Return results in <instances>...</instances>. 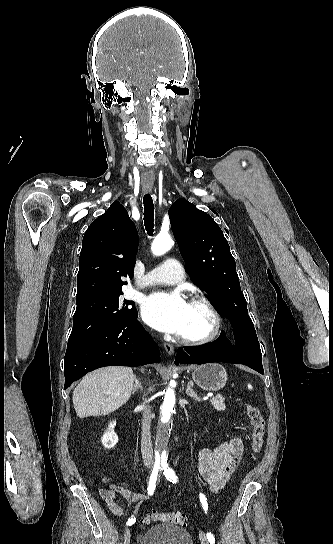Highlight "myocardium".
I'll list each match as a JSON object with an SVG mask.
<instances>
[{
	"label": "myocardium",
	"instance_id": "myocardium-1",
	"mask_svg": "<svg viewBox=\"0 0 333 544\" xmlns=\"http://www.w3.org/2000/svg\"><path fill=\"white\" fill-rule=\"evenodd\" d=\"M190 304H199L204 306L212 318L210 331L201 337L178 336V339L187 345L199 346L214 341L220 334L223 326V317L215 303L205 295H195L191 298Z\"/></svg>",
	"mask_w": 333,
	"mask_h": 544
}]
</instances>
